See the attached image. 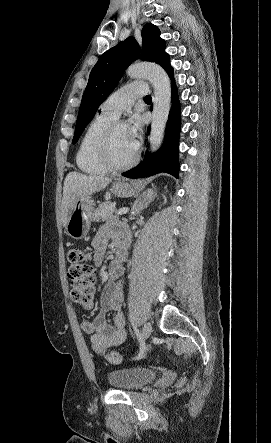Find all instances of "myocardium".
<instances>
[{"mask_svg": "<svg viewBox=\"0 0 271 443\" xmlns=\"http://www.w3.org/2000/svg\"><path fill=\"white\" fill-rule=\"evenodd\" d=\"M120 125H126V122L123 120L114 119L107 126L102 136L99 148L103 162L109 169L115 171H121L130 168L137 162L139 158V150L137 149L136 153L130 160L123 163L117 162L115 160L112 152V140L116 128Z\"/></svg>", "mask_w": 271, "mask_h": 443, "instance_id": "f54148a6", "label": "myocardium"}]
</instances>
